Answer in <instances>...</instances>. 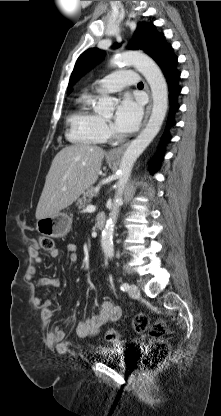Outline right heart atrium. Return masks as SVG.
Wrapping results in <instances>:
<instances>
[{
  "label": "right heart atrium",
  "mask_w": 221,
  "mask_h": 416,
  "mask_svg": "<svg viewBox=\"0 0 221 416\" xmlns=\"http://www.w3.org/2000/svg\"><path fill=\"white\" fill-rule=\"evenodd\" d=\"M103 132H104L105 136L109 135V128L104 122H103Z\"/></svg>",
  "instance_id": "right-heart-atrium-1"
}]
</instances>
